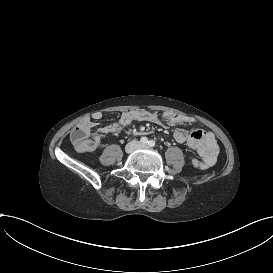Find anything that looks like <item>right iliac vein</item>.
Listing matches in <instances>:
<instances>
[{
  "label": "right iliac vein",
  "instance_id": "1",
  "mask_svg": "<svg viewBox=\"0 0 273 273\" xmlns=\"http://www.w3.org/2000/svg\"><path fill=\"white\" fill-rule=\"evenodd\" d=\"M139 144L137 142H132L128 145L127 150L128 152H132L133 150L137 149Z\"/></svg>",
  "mask_w": 273,
  "mask_h": 273
}]
</instances>
